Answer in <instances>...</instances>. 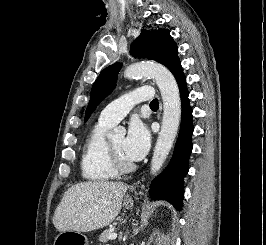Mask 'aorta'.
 I'll return each instance as SVG.
<instances>
[{"mask_svg": "<svg viewBox=\"0 0 266 245\" xmlns=\"http://www.w3.org/2000/svg\"><path fill=\"white\" fill-rule=\"evenodd\" d=\"M144 74L155 78L163 102L162 127L156 141L150 169L151 175H156L164 165L178 133L181 118V98L175 76L163 64H158V62H152L148 66L130 64L124 72L126 78H136V76H144ZM112 135L124 137L125 129L116 127L113 129Z\"/></svg>", "mask_w": 266, "mask_h": 245, "instance_id": "762f6f07", "label": "aorta"}]
</instances>
